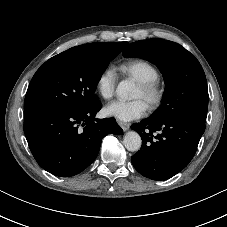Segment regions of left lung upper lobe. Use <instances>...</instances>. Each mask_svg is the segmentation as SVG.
Here are the masks:
<instances>
[{"instance_id": "left-lung-upper-lobe-1", "label": "left lung upper lobe", "mask_w": 227, "mask_h": 227, "mask_svg": "<svg viewBox=\"0 0 227 227\" xmlns=\"http://www.w3.org/2000/svg\"><path fill=\"white\" fill-rule=\"evenodd\" d=\"M123 56L139 57L155 64L166 84L162 105L152 120L185 117L204 123L208 109L205 73L198 60L178 43L148 39L131 43Z\"/></svg>"}]
</instances>
